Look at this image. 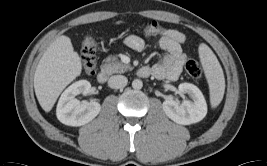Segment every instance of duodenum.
Returning a JSON list of instances; mask_svg holds the SVG:
<instances>
[{
	"instance_id": "duodenum-1",
	"label": "duodenum",
	"mask_w": 267,
	"mask_h": 166,
	"mask_svg": "<svg viewBox=\"0 0 267 166\" xmlns=\"http://www.w3.org/2000/svg\"><path fill=\"white\" fill-rule=\"evenodd\" d=\"M137 74L140 77H145V76H148L149 71H148L147 68L142 67V68L138 69ZM96 78H97V81L99 83H105L107 81V79H108L107 71L104 70V69L99 70L98 73H97Z\"/></svg>"
}]
</instances>
